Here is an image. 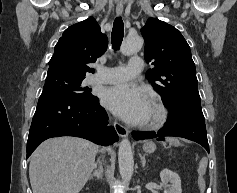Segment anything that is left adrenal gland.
I'll list each match as a JSON object with an SVG mask.
<instances>
[{"instance_id": "1", "label": "left adrenal gland", "mask_w": 237, "mask_h": 193, "mask_svg": "<svg viewBox=\"0 0 237 193\" xmlns=\"http://www.w3.org/2000/svg\"><path fill=\"white\" fill-rule=\"evenodd\" d=\"M140 158H141V162H142V167L144 168L146 165L145 155H140Z\"/></svg>"}]
</instances>
